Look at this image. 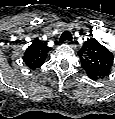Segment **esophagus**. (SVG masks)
Returning a JSON list of instances; mask_svg holds the SVG:
<instances>
[{
  "mask_svg": "<svg viewBox=\"0 0 115 119\" xmlns=\"http://www.w3.org/2000/svg\"><path fill=\"white\" fill-rule=\"evenodd\" d=\"M72 42L71 41H66V44H71Z\"/></svg>",
  "mask_w": 115,
  "mask_h": 119,
  "instance_id": "1",
  "label": "esophagus"
}]
</instances>
